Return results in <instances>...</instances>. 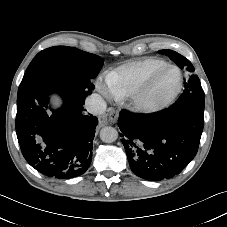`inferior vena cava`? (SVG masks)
<instances>
[{
	"instance_id": "obj_1",
	"label": "inferior vena cava",
	"mask_w": 227,
	"mask_h": 227,
	"mask_svg": "<svg viewBox=\"0 0 227 227\" xmlns=\"http://www.w3.org/2000/svg\"><path fill=\"white\" fill-rule=\"evenodd\" d=\"M85 108L93 115H101L106 111L105 100L99 94H92L85 101Z\"/></svg>"
}]
</instances>
